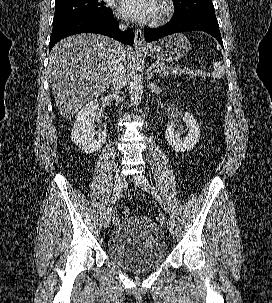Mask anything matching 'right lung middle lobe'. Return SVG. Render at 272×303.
Here are the masks:
<instances>
[{
	"label": "right lung middle lobe",
	"instance_id": "dd1d6c3e",
	"mask_svg": "<svg viewBox=\"0 0 272 303\" xmlns=\"http://www.w3.org/2000/svg\"><path fill=\"white\" fill-rule=\"evenodd\" d=\"M85 14L106 16L113 12L101 0H60L55 3L53 23Z\"/></svg>",
	"mask_w": 272,
	"mask_h": 303
}]
</instances>
